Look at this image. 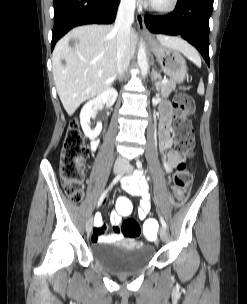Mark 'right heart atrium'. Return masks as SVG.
I'll list each match as a JSON object with an SVG mask.
<instances>
[{
  "label": "right heart atrium",
  "instance_id": "1",
  "mask_svg": "<svg viewBox=\"0 0 247 304\" xmlns=\"http://www.w3.org/2000/svg\"><path fill=\"white\" fill-rule=\"evenodd\" d=\"M121 2L126 6H134L136 4V0H121Z\"/></svg>",
  "mask_w": 247,
  "mask_h": 304
}]
</instances>
